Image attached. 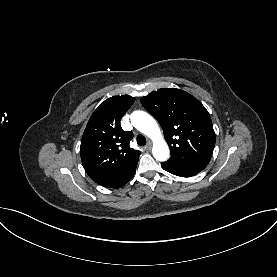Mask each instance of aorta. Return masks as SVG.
Masks as SVG:
<instances>
[{"label":"aorta","mask_w":277,"mask_h":277,"mask_svg":"<svg viewBox=\"0 0 277 277\" xmlns=\"http://www.w3.org/2000/svg\"><path fill=\"white\" fill-rule=\"evenodd\" d=\"M130 118L131 123L137 130L153 140L152 152L154 158L161 162L168 160L170 151L154 118L144 111H134Z\"/></svg>","instance_id":"1"}]
</instances>
